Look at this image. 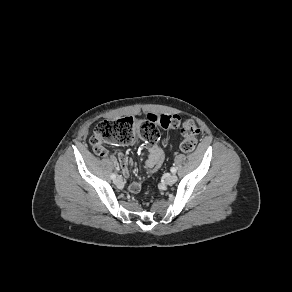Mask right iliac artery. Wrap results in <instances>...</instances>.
<instances>
[{"label": "right iliac artery", "mask_w": 292, "mask_h": 292, "mask_svg": "<svg viewBox=\"0 0 292 292\" xmlns=\"http://www.w3.org/2000/svg\"><path fill=\"white\" fill-rule=\"evenodd\" d=\"M116 178V175L113 173V174H111V179H115Z\"/></svg>", "instance_id": "obj_1"}]
</instances>
